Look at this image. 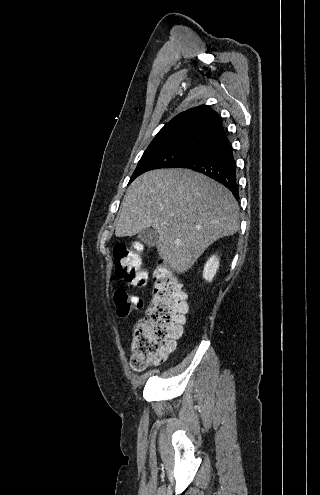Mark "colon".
<instances>
[{"label":"colon","mask_w":320,"mask_h":495,"mask_svg":"<svg viewBox=\"0 0 320 495\" xmlns=\"http://www.w3.org/2000/svg\"><path fill=\"white\" fill-rule=\"evenodd\" d=\"M113 253L115 274L119 280L138 287L146 284L147 274L142 270L138 249L118 244ZM153 280L151 304L133 332L130 363L135 371L161 360L174 349L188 308L183 287L170 271L158 268ZM114 302L120 316H127L132 309L142 307L141 299L124 289L114 292Z\"/></svg>","instance_id":"5ec220e1"}]
</instances>
